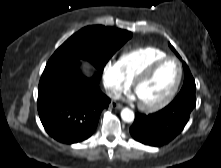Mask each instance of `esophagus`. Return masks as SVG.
Segmentation results:
<instances>
[{
    "mask_svg": "<svg viewBox=\"0 0 221 168\" xmlns=\"http://www.w3.org/2000/svg\"><path fill=\"white\" fill-rule=\"evenodd\" d=\"M110 107H111V108H115V109H121V108H122V105L119 104V103H117V102L112 101V102L110 103Z\"/></svg>",
    "mask_w": 221,
    "mask_h": 168,
    "instance_id": "1",
    "label": "esophagus"
}]
</instances>
